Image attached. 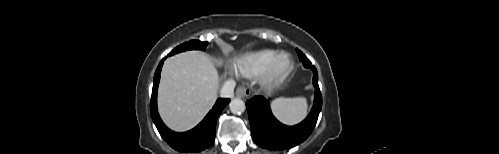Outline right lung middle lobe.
<instances>
[{
	"instance_id": "obj_1",
	"label": "right lung middle lobe",
	"mask_w": 499,
	"mask_h": 154,
	"mask_svg": "<svg viewBox=\"0 0 499 154\" xmlns=\"http://www.w3.org/2000/svg\"><path fill=\"white\" fill-rule=\"evenodd\" d=\"M207 46V42H201L198 40H192L189 42H186L184 44H181L180 46L176 47L174 50H172L168 56L174 55L176 53L185 51V50H192V49H198V50H205Z\"/></svg>"
}]
</instances>
